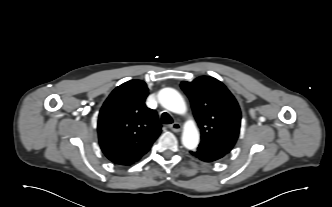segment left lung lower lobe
Returning <instances> with one entry per match:
<instances>
[{"label":"left lung lower lobe","instance_id":"left-lung-lower-lobe-1","mask_svg":"<svg viewBox=\"0 0 332 207\" xmlns=\"http://www.w3.org/2000/svg\"><path fill=\"white\" fill-rule=\"evenodd\" d=\"M190 153L204 161V162H213V161H216V160H219L220 158H222L224 155L219 153V152H216V151H213V150H208V149H203V148H197L196 150L194 151H190Z\"/></svg>","mask_w":332,"mask_h":207}]
</instances>
